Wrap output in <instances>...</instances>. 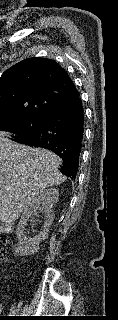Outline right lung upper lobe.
<instances>
[{
	"label": "right lung upper lobe",
	"instance_id": "right-lung-upper-lobe-1",
	"mask_svg": "<svg viewBox=\"0 0 118 320\" xmlns=\"http://www.w3.org/2000/svg\"><path fill=\"white\" fill-rule=\"evenodd\" d=\"M78 95L66 71L54 60L25 59L0 78V119H45L53 108Z\"/></svg>",
	"mask_w": 118,
	"mask_h": 320
}]
</instances>
